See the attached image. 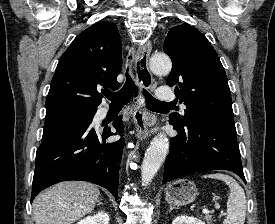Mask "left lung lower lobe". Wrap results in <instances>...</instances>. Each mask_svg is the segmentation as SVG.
<instances>
[{
  "label": "left lung lower lobe",
  "instance_id": "left-lung-lower-lobe-1",
  "mask_svg": "<svg viewBox=\"0 0 275 224\" xmlns=\"http://www.w3.org/2000/svg\"><path fill=\"white\" fill-rule=\"evenodd\" d=\"M178 135L171 138L163 183L183 175L225 169L246 183L235 125L199 119L186 126L169 120Z\"/></svg>",
  "mask_w": 275,
  "mask_h": 224
}]
</instances>
